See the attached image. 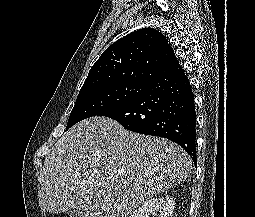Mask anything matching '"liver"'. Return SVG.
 <instances>
[{
    "label": "liver",
    "instance_id": "liver-1",
    "mask_svg": "<svg viewBox=\"0 0 255 217\" xmlns=\"http://www.w3.org/2000/svg\"><path fill=\"white\" fill-rule=\"evenodd\" d=\"M191 168L174 142L95 116L66 131L45 158L39 203L52 214L80 209L86 217H127Z\"/></svg>",
    "mask_w": 255,
    "mask_h": 217
}]
</instances>
